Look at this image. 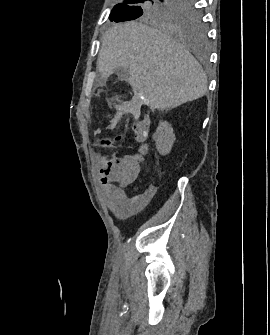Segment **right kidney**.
<instances>
[{"label":"right kidney","mask_w":270,"mask_h":335,"mask_svg":"<svg viewBox=\"0 0 270 335\" xmlns=\"http://www.w3.org/2000/svg\"><path fill=\"white\" fill-rule=\"evenodd\" d=\"M153 140H155L156 150L161 156L170 154L171 148L176 140L171 124H168V122H160L155 134H153Z\"/></svg>","instance_id":"ca27d5eb"}]
</instances>
